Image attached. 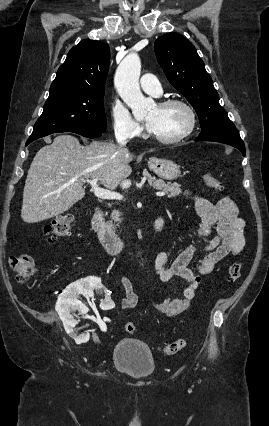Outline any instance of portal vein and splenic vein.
<instances>
[{"label":"portal vein and splenic vein","instance_id":"portal-vein-and-splenic-vein-1","mask_svg":"<svg viewBox=\"0 0 269 426\" xmlns=\"http://www.w3.org/2000/svg\"><path fill=\"white\" fill-rule=\"evenodd\" d=\"M83 182H87L88 184L91 185L92 190L97 198L106 199V200H121L123 198V196L117 192H112L110 190L99 187L98 179L84 180ZM156 196L162 197V196H165V193L157 192Z\"/></svg>","mask_w":269,"mask_h":426}]
</instances>
